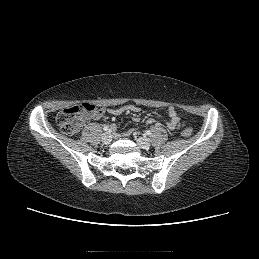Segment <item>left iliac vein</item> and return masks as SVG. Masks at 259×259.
Segmentation results:
<instances>
[{"label": "left iliac vein", "instance_id": "left-iliac-vein-1", "mask_svg": "<svg viewBox=\"0 0 259 259\" xmlns=\"http://www.w3.org/2000/svg\"><path fill=\"white\" fill-rule=\"evenodd\" d=\"M137 144L143 149H148L151 146V141L146 137H139Z\"/></svg>", "mask_w": 259, "mask_h": 259}]
</instances>
